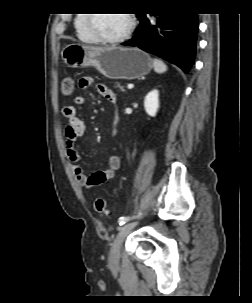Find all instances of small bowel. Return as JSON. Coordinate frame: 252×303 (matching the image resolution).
Instances as JSON below:
<instances>
[{
  "mask_svg": "<svg viewBox=\"0 0 252 303\" xmlns=\"http://www.w3.org/2000/svg\"><path fill=\"white\" fill-rule=\"evenodd\" d=\"M92 83L93 78L90 76H83L79 80V86L82 89L90 87ZM96 89L111 104L115 106L117 105V97L107 85L103 83H98L96 84ZM85 102L86 98L83 95H76L73 99V103L77 106L84 105ZM63 114L66 119L64 128V138L67 153L72 161H78L80 158V154L77 148V140L79 137L84 135L86 131V126L82 119L77 115L74 106H65L63 108ZM119 124L120 118L118 113H116L112 126L113 134L118 133ZM122 161L123 156L121 154H115L110 156L108 166L104 169L98 170L92 174H87L80 165L75 164L73 166V172L80 184H82L86 188H92L95 186H99L106 181L114 179L118 169L122 164Z\"/></svg>",
  "mask_w": 252,
  "mask_h": 303,
  "instance_id": "obj_1",
  "label": "small bowel"
}]
</instances>
